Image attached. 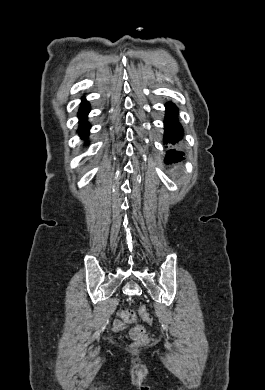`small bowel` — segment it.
Returning a JSON list of instances; mask_svg holds the SVG:
<instances>
[{"mask_svg": "<svg viewBox=\"0 0 265 390\" xmlns=\"http://www.w3.org/2000/svg\"><path fill=\"white\" fill-rule=\"evenodd\" d=\"M126 326V323L122 322L121 320H116L113 324V327L115 330H121Z\"/></svg>", "mask_w": 265, "mask_h": 390, "instance_id": "c3829d8e", "label": "small bowel"}]
</instances>
